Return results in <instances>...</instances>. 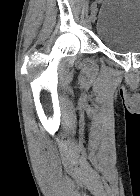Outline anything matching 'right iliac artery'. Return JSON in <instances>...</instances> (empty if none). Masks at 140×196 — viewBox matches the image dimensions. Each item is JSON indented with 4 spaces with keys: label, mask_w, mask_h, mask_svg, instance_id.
<instances>
[{
    "label": "right iliac artery",
    "mask_w": 140,
    "mask_h": 196,
    "mask_svg": "<svg viewBox=\"0 0 140 196\" xmlns=\"http://www.w3.org/2000/svg\"><path fill=\"white\" fill-rule=\"evenodd\" d=\"M95 7V3H92L91 9H94Z\"/></svg>",
    "instance_id": "1"
}]
</instances>
